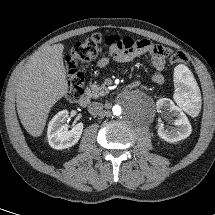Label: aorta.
<instances>
[{"instance_id":"1","label":"aorta","mask_w":215,"mask_h":215,"mask_svg":"<svg viewBox=\"0 0 215 215\" xmlns=\"http://www.w3.org/2000/svg\"><path fill=\"white\" fill-rule=\"evenodd\" d=\"M121 112H122V109H121L120 106H118V105L114 106V108H113V113H114L115 115H120Z\"/></svg>"}]
</instances>
